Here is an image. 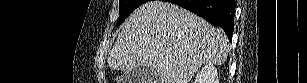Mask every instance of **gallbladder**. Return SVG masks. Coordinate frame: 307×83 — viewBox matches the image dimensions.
Instances as JSON below:
<instances>
[{"label":"gallbladder","instance_id":"1","mask_svg":"<svg viewBox=\"0 0 307 83\" xmlns=\"http://www.w3.org/2000/svg\"><path fill=\"white\" fill-rule=\"evenodd\" d=\"M158 79L159 75L152 67L132 70L121 78L123 83H157Z\"/></svg>","mask_w":307,"mask_h":83}]
</instances>
